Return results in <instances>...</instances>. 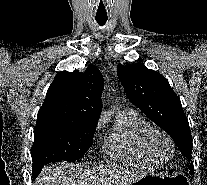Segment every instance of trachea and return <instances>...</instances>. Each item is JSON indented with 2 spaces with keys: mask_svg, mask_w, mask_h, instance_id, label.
<instances>
[{
  "mask_svg": "<svg viewBox=\"0 0 207 185\" xmlns=\"http://www.w3.org/2000/svg\"><path fill=\"white\" fill-rule=\"evenodd\" d=\"M96 21L99 25L103 26L107 21V17H96Z\"/></svg>",
  "mask_w": 207,
  "mask_h": 185,
  "instance_id": "trachea-1",
  "label": "trachea"
}]
</instances>
